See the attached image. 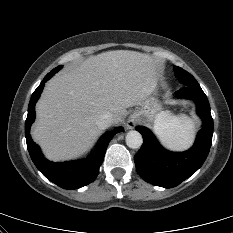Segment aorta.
Returning a JSON list of instances; mask_svg holds the SVG:
<instances>
[{"label": "aorta", "instance_id": "1", "mask_svg": "<svg viewBox=\"0 0 233 233\" xmlns=\"http://www.w3.org/2000/svg\"><path fill=\"white\" fill-rule=\"evenodd\" d=\"M125 141L129 148L137 149L141 147L143 138L138 131L131 130L126 134Z\"/></svg>", "mask_w": 233, "mask_h": 233}]
</instances>
